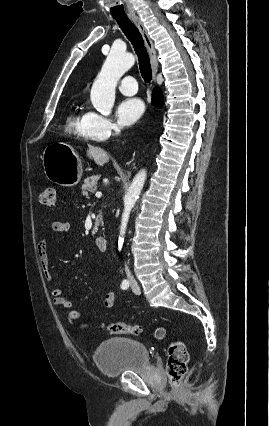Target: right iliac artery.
<instances>
[{
	"label": "right iliac artery",
	"mask_w": 269,
	"mask_h": 426,
	"mask_svg": "<svg viewBox=\"0 0 269 426\" xmlns=\"http://www.w3.org/2000/svg\"><path fill=\"white\" fill-rule=\"evenodd\" d=\"M129 285H130L129 281L125 279V280L122 281L121 288L123 290H125V289H127L129 287Z\"/></svg>",
	"instance_id": "82829eb1"
}]
</instances>
